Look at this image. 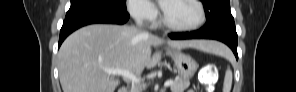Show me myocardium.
<instances>
[{
    "label": "myocardium",
    "mask_w": 296,
    "mask_h": 92,
    "mask_svg": "<svg viewBox=\"0 0 296 92\" xmlns=\"http://www.w3.org/2000/svg\"><path fill=\"white\" fill-rule=\"evenodd\" d=\"M188 1H191L198 8L199 19H198L197 23H195L194 25H191V26H187V27H181V26H177V25H174V24L170 23L168 21L167 17H166V13H165V10H164L165 3H163L162 4V6H163L162 24L167 29H170L172 31H178V32H191V31H195V30L199 29L205 23L206 12H205L203 4L198 0H188Z\"/></svg>",
    "instance_id": "f54148a6"
}]
</instances>
